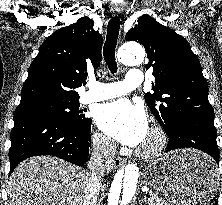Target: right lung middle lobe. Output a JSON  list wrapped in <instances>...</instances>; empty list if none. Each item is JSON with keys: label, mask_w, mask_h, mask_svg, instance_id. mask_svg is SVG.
I'll use <instances>...</instances> for the list:
<instances>
[{"label": "right lung middle lobe", "mask_w": 222, "mask_h": 205, "mask_svg": "<svg viewBox=\"0 0 222 205\" xmlns=\"http://www.w3.org/2000/svg\"><path fill=\"white\" fill-rule=\"evenodd\" d=\"M25 112L45 113L61 119L64 123L77 127H89L91 119L86 118L83 110H79V101L43 103Z\"/></svg>", "instance_id": "obj_1"}]
</instances>
